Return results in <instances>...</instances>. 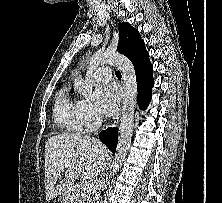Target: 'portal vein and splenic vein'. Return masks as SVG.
I'll list each match as a JSON object with an SVG mask.
<instances>
[{
	"label": "portal vein and splenic vein",
	"instance_id": "1",
	"mask_svg": "<svg viewBox=\"0 0 222 203\" xmlns=\"http://www.w3.org/2000/svg\"><path fill=\"white\" fill-rule=\"evenodd\" d=\"M94 188V185L92 182H85L83 184V189L86 191V192H89V191H92Z\"/></svg>",
	"mask_w": 222,
	"mask_h": 203
}]
</instances>
